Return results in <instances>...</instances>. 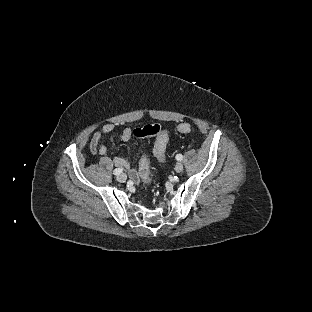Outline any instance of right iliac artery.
<instances>
[{
    "label": "right iliac artery",
    "instance_id": "obj_1",
    "mask_svg": "<svg viewBox=\"0 0 312 312\" xmlns=\"http://www.w3.org/2000/svg\"><path fill=\"white\" fill-rule=\"evenodd\" d=\"M122 171H123V169L117 168V169H115V170L113 171V174H114V175H119V174L122 173Z\"/></svg>",
    "mask_w": 312,
    "mask_h": 312
}]
</instances>
